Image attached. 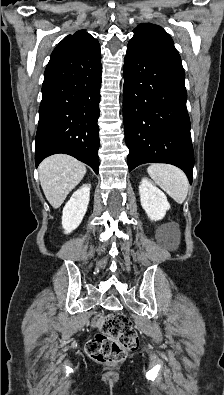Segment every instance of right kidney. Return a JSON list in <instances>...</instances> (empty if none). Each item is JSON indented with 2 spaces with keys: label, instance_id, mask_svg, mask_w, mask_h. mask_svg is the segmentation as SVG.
<instances>
[{
  "label": "right kidney",
  "instance_id": "right-kidney-1",
  "mask_svg": "<svg viewBox=\"0 0 224 395\" xmlns=\"http://www.w3.org/2000/svg\"><path fill=\"white\" fill-rule=\"evenodd\" d=\"M90 200V185H84L73 193L65 204L62 215V227L65 234L75 230L83 220Z\"/></svg>",
  "mask_w": 224,
  "mask_h": 395
}]
</instances>
